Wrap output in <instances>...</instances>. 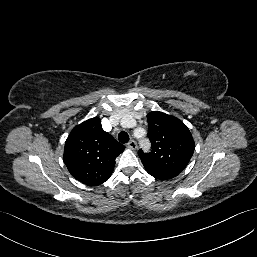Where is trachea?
<instances>
[{"mask_svg": "<svg viewBox=\"0 0 257 257\" xmlns=\"http://www.w3.org/2000/svg\"><path fill=\"white\" fill-rule=\"evenodd\" d=\"M118 140L121 142V143H127L128 141H129V135H128V133L127 132H124V131H122V132H120L119 134H118Z\"/></svg>", "mask_w": 257, "mask_h": 257, "instance_id": "1", "label": "trachea"}]
</instances>
